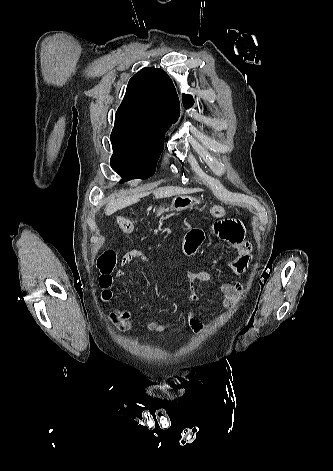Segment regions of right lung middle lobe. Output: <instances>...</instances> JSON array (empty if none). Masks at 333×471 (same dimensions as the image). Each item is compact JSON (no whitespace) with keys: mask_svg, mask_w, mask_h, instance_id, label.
<instances>
[{"mask_svg":"<svg viewBox=\"0 0 333 471\" xmlns=\"http://www.w3.org/2000/svg\"><path fill=\"white\" fill-rule=\"evenodd\" d=\"M157 129L116 125L111 133V167L123 179H146L155 173L164 148V133Z\"/></svg>","mask_w":333,"mask_h":471,"instance_id":"1","label":"right lung middle lobe"}]
</instances>
